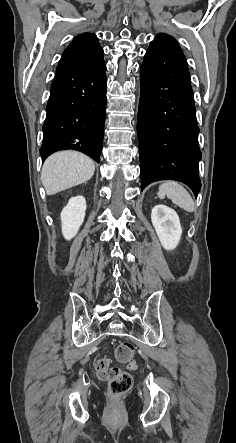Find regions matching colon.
<instances>
[{"label":"colon","instance_id":"5ec220e1","mask_svg":"<svg viewBox=\"0 0 236 443\" xmlns=\"http://www.w3.org/2000/svg\"><path fill=\"white\" fill-rule=\"evenodd\" d=\"M116 358L122 363L134 365L135 348L130 342H122L116 348ZM98 376L108 383L109 392L113 397H118L130 390L133 379L130 373L110 366V360L100 359L96 364Z\"/></svg>","mask_w":236,"mask_h":443}]
</instances>
